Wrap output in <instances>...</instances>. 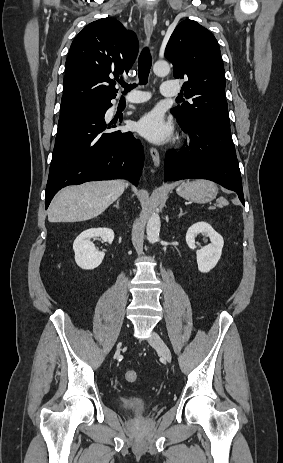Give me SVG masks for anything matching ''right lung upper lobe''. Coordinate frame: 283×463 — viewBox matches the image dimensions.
I'll use <instances>...</instances> for the list:
<instances>
[{
	"mask_svg": "<svg viewBox=\"0 0 283 463\" xmlns=\"http://www.w3.org/2000/svg\"><path fill=\"white\" fill-rule=\"evenodd\" d=\"M134 32L116 19L88 24L74 39L66 60L61 113L116 97L112 76L128 74L138 53Z\"/></svg>",
	"mask_w": 283,
	"mask_h": 463,
	"instance_id": "1",
	"label": "right lung upper lobe"
}]
</instances>
